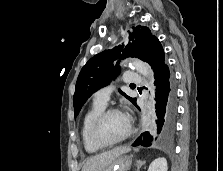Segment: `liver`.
<instances>
[{
  "label": "liver",
  "instance_id": "liver-1",
  "mask_svg": "<svg viewBox=\"0 0 223 171\" xmlns=\"http://www.w3.org/2000/svg\"><path fill=\"white\" fill-rule=\"evenodd\" d=\"M128 147H117L87 159L82 171H102L110 165L120 154L128 152Z\"/></svg>",
  "mask_w": 223,
  "mask_h": 171
}]
</instances>
